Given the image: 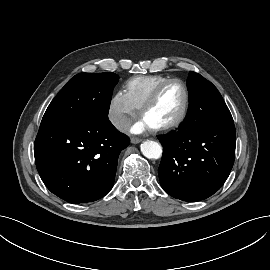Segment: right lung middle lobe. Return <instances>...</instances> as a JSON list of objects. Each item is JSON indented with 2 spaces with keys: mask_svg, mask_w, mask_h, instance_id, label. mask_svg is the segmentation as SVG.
Listing matches in <instances>:
<instances>
[{
  "mask_svg": "<svg viewBox=\"0 0 270 270\" xmlns=\"http://www.w3.org/2000/svg\"><path fill=\"white\" fill-rule=\"evenodd\" d=\"M118 78L114 73L75 75L50 103L41 123L80 122L107 116Z\"/></svg>",
  "mask_w": 270,
  "mask_h": 270,
  "instance_id": "dd1d6c3e",
  "label": "right lung middle lobe"
}]
</instances>
